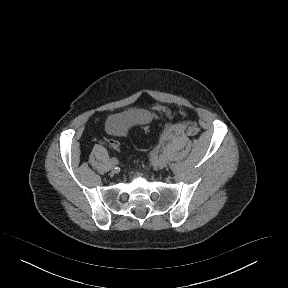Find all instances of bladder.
Masks as SVG:
<instances>
[{
	"label": "bladder",
	"mask_w": 288,
	"mask_h": 288,
	"mask_svg": "<svg viewBox=\"0 0 288 288\" xmlns=\"http://www.w3.org/2000/svg\"><path fill=\"white\" fill-rule=\"evenodd\" d=\"M153 119V113L144 109H130L108 120V128L113 132H123L134 125L144 126Z\"/></svg>",
	"instance_id": "1"
}]
</instances>
